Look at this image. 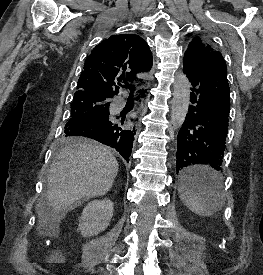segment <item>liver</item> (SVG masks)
<instances>
[{
	"label": "liver",
	"mask_w": 263,
	"mask_h": 275,
	"mask_svg": "<svg viewBox=\"0 0 263 275\" xmlns=\"http://www.w3.org/2000/svg\"><path fill=\"white\" fill-rule=\"evenodd\" d=\"M117 173L116 158L103 146L79 142L65 148L50 167L46 202L36 206L39 228L58 229L81 200L105 195Z\"/></svg>",
	"instance_id": "1"
}]
</instances>
